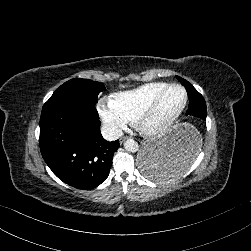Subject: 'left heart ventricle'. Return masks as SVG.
Masks as SVG:
<instances>
[{
	"mask_svg": "<svg viewBox=\"0 0 251 251\" xmlns=\"http://www.w3.org/2000/svg\"><path fill=\"white\" fill-rule=\"evenodd\" d=\"M185 102V93L178 88H170L157 107L152 121L155 124H166L174 120Z\"/></svg>",
	"mask_w": 251,
	"mask_h": 251,
	"instance_id": "left-heart-ventricle-1",
	"label": "left heart ventricle"
}]
</instances>
